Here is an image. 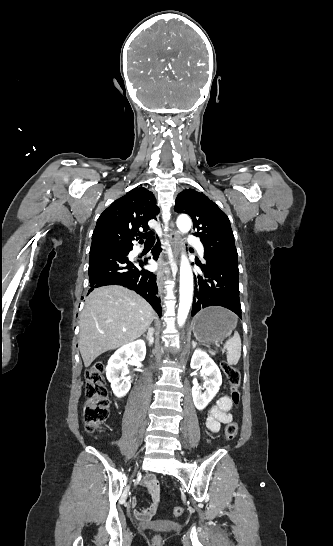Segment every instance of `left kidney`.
Here are the masks:
<instances>
[{
  "label": "left kidney",
  "instance_id": "1",
  "mask_svg": "<svg viewBox=\"0 0 333 546\" xmlns=\"http://www.w3.org/2000/svg\"><path fill=\"white\" fill-rule=\"evenodd\" d=\"M190 366L192 369H201L204 384L207 388L201 393L197 379L193 380L192 397L195 407L203 410L219 391L222 384V376L216 363L202 350H195Z\"/></svg>",
  "mask_w": 333,
  "mask_h": 546
}]
</instances>
